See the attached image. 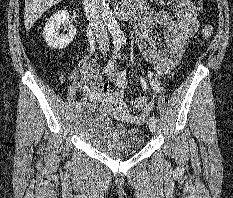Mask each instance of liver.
<instances>
[{
  "mask_svg": "<svg viewBox=\"0 0 233 198\" xmlns=\"http://www.w3.org/2000/svg\"><path fill=\"white\" fill-rule=\"evenodd\" d=\"M62 0H25L24 25L29 31L43 13Z\"/></svg>",
  "mask_w": 233,
  "mask_h": 198,
  "instance_id": "6515ba94",
  "label": "liver"
}]
</instances>
